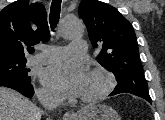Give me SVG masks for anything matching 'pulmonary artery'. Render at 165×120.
<instances>
[{
	"label": "pulmonary artery",
	"instance_id": "obj_1",
	"mask_svg": "<svg viewBox=\"0 0 165 120\" xmlns=\"http://www.w3.org/2000/svg\"><path fill=\"white\" fill-rule=\"evenodd\" d=\"M86 50L87 45L84 41H73L68 47L45 46L33 60L39 63H49L62 59L70 53L83 55Z\"/></svg>",
	"mask_w": 165,
	"mask_h": 120
}]
</instances>
